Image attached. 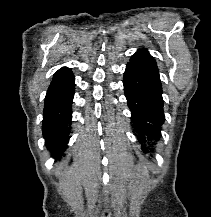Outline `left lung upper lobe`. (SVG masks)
Here are the masks:
<instances>
[{
  "label": "left lung upper lobe",
  "instance_id": "left-lung-upper-lobe-1",
  "mask_svg": "<svg viewBox=\"0 0 211 217\" xmlns=\"http://www.w3.org/2000/svg\"><path fill=\"white\" fill-rule=\"evenodd\" d=\"M128 64L143 70L144 72H146L147 74L154 77L156 80L160 82L159 71L157 68L156 61L148 53L147 50L142 49L136 52L131 57L130 62Z\"/></svg>",
  "mask_w": 211,
  "mask_h": 217
}]
</instances>
